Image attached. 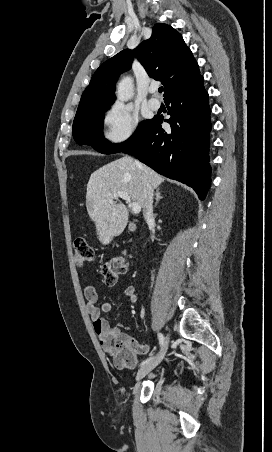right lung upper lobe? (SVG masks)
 Instances as JSON below:
<instances>
[{
    "instance_id": "cb5924a9",
    "label": "right lung upper lobe",
    "mask_w": 272,
    "mask_h": 452,
    "mask_svg": "<svg viewBox=\"0 0 272 452\" xmlns=\"http://www.w3.org/2000/svg\"><path fill=\"white\" fill-rule=\"evenodd\" d=\"M134 55L150 77L162 82L165 98L201 76L198 64L182 36L171 26L158 23L148 40L133 51L125 49L119 52L96 70L82 94L76 114L110 106L115 99L116 80L130 69Z\"/></svg>"
}]
</instances>
